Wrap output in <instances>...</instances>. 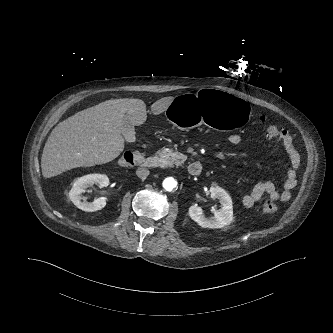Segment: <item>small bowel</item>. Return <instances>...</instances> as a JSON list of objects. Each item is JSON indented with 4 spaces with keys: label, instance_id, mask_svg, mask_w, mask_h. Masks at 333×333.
<instances>
[{
    "label": "small bowel",
    "instance_id": "1",
    "mask_svg": "<svg viewBox=\"0 0 333 333\" xmlns=\"http://www.w3.org/2000/svg\"><path fill=\"white\" fill-rule=\"evenodd\" d=\"M268 137L279 140L288 156L290 167L286 172V180L283 183L281 191L270 181L257 183L252 191L246 194L242 199V203L246 208L253 207L263 196H268L274 201H287L296 186L297 170L300 166V155L294 146L292 135L288 130L277 127V134ZM228 141L232 145H238L241 143V136L237 133H233L228 137Z\"/></svg>",
    "mask_w": 333,
    "mask_h": 333
}]
</instances>
